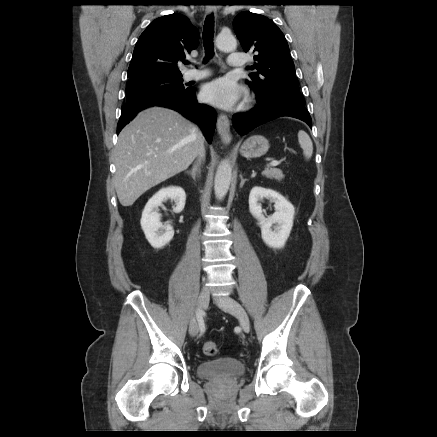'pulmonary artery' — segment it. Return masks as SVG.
I'll list each match as a JSON object with an SVG mask.
<instances>
[{
	"label": "pulmonary artery",
	"mask_w": 437,
	"mask_h": 437,
	"mask_svg": "<svg viewBox=\"0 0 437 437\" xmlns=\"http://www.w3.org/2000/svg\"><path fill=\"white\" fill-rule=\"evenodd\" d=\"M245 60L240 53H231L228 57V65L231 68H240L244 66ZM209 75L207 70H189L185 73V79L188 81L199 80Z\"/></svg>",
	"instance_id": "e3ab8cb5"
}]
</instances>
